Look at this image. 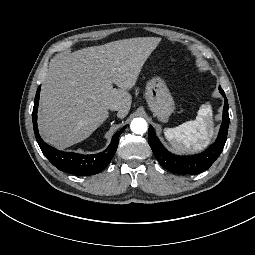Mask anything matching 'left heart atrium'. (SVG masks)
<instances>
[{
    "label": "left heart atrium",
    "instance_id": "obj_1",
    "mask_svg": "<svg viewBox=\"0 0 255 255\" xmlns=\"http://www.w3.org/2000/svg\"><path fill=\"white\" fill-rule=\"evenodd\" d=\"M135 85L134 76L131 72L125 73L123 77L115 84V89L124 88L130 90Z\"/></svg>",
    "mask_w": 255,
    "mask_h": 255
}]
</instances>
